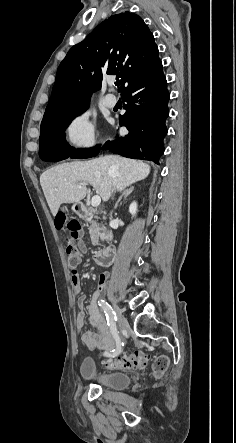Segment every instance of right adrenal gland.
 <instances>
[{
  "instance_id": "2a0ac1e0",
  "label": "right adrenal gland",
  "mask_w": 236,
  "mask_h": 443,
  "mask_svg": "<svg viewBox=\"0 0 236 443\" xmlns=\"http://www.w3.org/2000/svg\"><path fill=\"white\" fill-rule=\"evenodd\" d=\"M133 190H134V187H133V186H130L128 189H126V190L122 193V195L119 197V199H118V201L116 202L114 208L117 209L118 204H119V202L121 201V199H122L123 197L126 198L129 194H131V193L133 192Z\"/></svg>"
}]
</instances>
